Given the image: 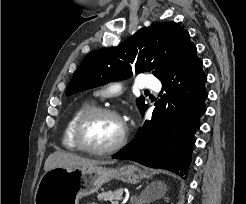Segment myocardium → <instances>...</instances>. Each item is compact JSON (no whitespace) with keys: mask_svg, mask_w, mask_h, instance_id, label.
Here are the masks:
<instances>
[{"mask_svg":"<svg viewBox=\"0 0 246 204\" xmlns=\"http://www.w3.org/2000/svg\"><path fill=\"white\" fill-rule=\"evenodd\" d=\"M99 115H110L116 118L121 123L122 132L119 139L113 145L106 148L96 149L91 148L84 143L82 134L83 129L85 125L88 123V121ZM128 134V127L121 115L117 111L108 107H93L86 111L84 114H82L81 117L78 119L74 128L73 138L78 149H80L81 151L94 155H106L121 149L127 142Z\"/></svg>","mask_w":246,"mask_h":204,"instance_id":"myocardium-1","label":"myocardium"}]
</instances>
